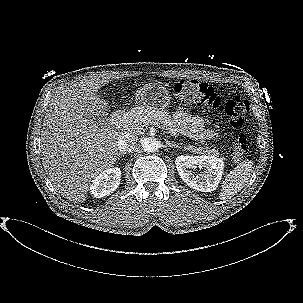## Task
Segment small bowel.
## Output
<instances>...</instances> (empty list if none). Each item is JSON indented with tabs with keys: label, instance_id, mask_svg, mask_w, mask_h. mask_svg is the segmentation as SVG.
Wrapping results in <instances>:
<instances>
[{
	"label": "small bowel",
	"instance_id": "1",
	"mask_svg": "<svg viewBox=\"0 0 303 303\" xmlns=\"http://www.w3.org/2000/svg\"><path fill=\"white\" fill-rule=\"evenodd\" d=\"M175 125L183 135L189 138L211 140L217 137L216 131L204 128L200 117L185 111L176 113Z\"/></svg>",
	"mask_w": 303,
	"mask_h": 303
}]
</instances>
